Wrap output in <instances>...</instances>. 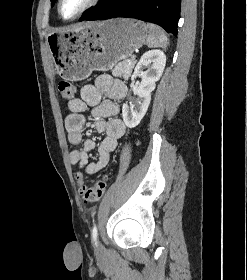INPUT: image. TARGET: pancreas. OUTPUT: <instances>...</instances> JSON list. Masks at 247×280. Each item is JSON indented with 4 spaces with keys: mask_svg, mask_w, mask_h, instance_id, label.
Listing matches in <instances>:
<instances>
[{
    "mask_svg": "<svg viewBox=\"0 0 247 280\" xmlns=\"http://www.w3.org/2000/svg\"><path fill=\"white\" fill-rule=\"evenodd\" d=\"M135 63V60L122 61L115 66V68L112 70V74L116 77H122L125 80H128L131 76Z\"/></svg>",
    "mask_w": 247,
    "mask_h": 280,
    "instance_id": "1",
    "label": "pancreas"
}]
</instances>
